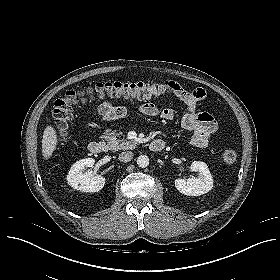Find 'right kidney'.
<instances>
[{"instance_id":"1","label":"right kidney","mask_w":280,"mask_h":280,"mask_svg":"<svg viewBox=\"0 0 280 280\" xmlns=\"http://www.w3.org/2000/svg\"><path fill=\"white\" fill-rule=\"evenodd\" d=\"M95 160L93 158L81 159L75 162L67 175L68 184L82 192H98L105 184L106 179L100 175H94L92 171H85L93 167Z\"/></svg>"}]
</instances>
